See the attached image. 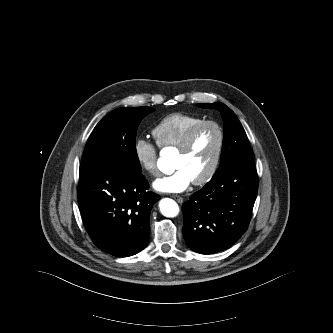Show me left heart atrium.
I'll list each match as a JSON object with an SVG mask.
<instances>
[{
    "mask_svg": "<svg viewBox=\"0 0 333 333\" xmlns=\"http://www.w3.org/2000/svg\"><path fill=\"white\" fill-rule=\"evenodd\" d=\"M192 178L183 168H177L172 174L156 179L153 187L161 193H181L192 183Z\"/></svg>",
    "mask_w": 333,
    "mask_h": 333,
    "instance_id": "1",
    "label": "left heart atrium"
}]
</instances>
